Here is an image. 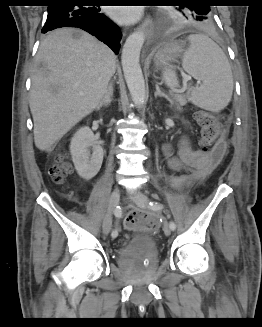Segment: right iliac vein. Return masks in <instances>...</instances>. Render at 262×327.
I'll use <instances>...</instances> for the list:
<instances>
[{
    "mask_svg": "<svg viewBox=\"0 0 262 327\" xmlns=\"http://www.w3.org/2000/svg\"><path fill=\"white\" fill-rule=\"evenodd\" d=\"M120 199L119 189H114L109 198V208L107 214L103 220L102 229L104 234H108L112 227V213L115 207L118 205Z\"/></svg>",
    "mask_w": 262,
    "mask_h": 327,
    "instance_id": "right-iliac-vein-1",
    "label": "right iliac vein"
}]
</instances>
